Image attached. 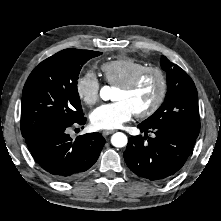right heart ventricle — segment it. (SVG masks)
Instances as JSON below:
<instances>
[{"mask_svg": "<svg viewBox=\"0 0 221 221\" xmlns=\"http://www.w3.org/2000/svg\"><path fill=\"white\" fill-rule=\"evenodd\" d=\"M145 66L146 64L141 61L125 57L103 63L101 70L107 83L118 86L128 81Z\"/></svg>", "mask_w": 221, "mask_h": 221, "instance_id": "obj_1", "label": "right heart ventricle"}]
</instances>
